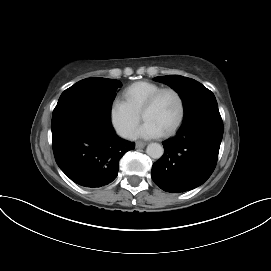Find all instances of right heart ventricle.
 <instances>
[{"mask_svg":"<svg viewBox=\"0 0 271 271\" xmlns=\"http://www.w3.org/2000/svg\"><path fill=\"white\" fill-rule=\"evenodd\" d=\"M162 87L150 81H138L127 86L123 91L126 104L136 113L140 114L147 99Z\"/></svg>","mask_w":271,"mask_h":271,"instance_id":"right-heart-ventricle-1","label":"right heart ventricle"}]
</instances>
